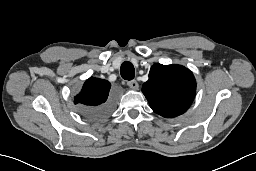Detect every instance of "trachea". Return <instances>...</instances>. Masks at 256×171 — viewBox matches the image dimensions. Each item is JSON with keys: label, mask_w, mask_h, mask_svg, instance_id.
<instances>
[{"label": "trachea", "mask_w": 256, "mask_h": 171, "mask_svg": "<svg viewBox=\"0 0 256 171\" xmlns=\"http://www.w3.org/2000/svg\"><path fill=\"white\" fill-rule=\"evenodd\" d=\"M120 74L124 80H132L135 77V69L131 62L125 61L120 68Z\"/></svg>", "instance_id": "trachea-1"}]
</instances>
